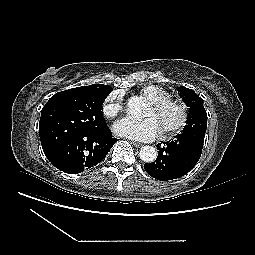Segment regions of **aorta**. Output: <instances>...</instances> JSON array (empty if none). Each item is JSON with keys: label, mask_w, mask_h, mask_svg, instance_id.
Masks as SVG:
<instances>
[{"label": "aorta", "mask_w": 255, "mask_h": 255, "mask_svg": "<svg viewBox=\"0 0 255 255\" xmlns=\"http://www.w3.org/2000/svg\"><path fill=\"white\" fill-rule=\"evenodd\" d=\"M142 104L141 98L137 96L131 97L127 103L129 114L134 118H139ZM139 155L144 162L151 163L157 158V150L153 146H144L140 149Z\"/></svg>", "instance_id": "obj_1"}]
</instances>
